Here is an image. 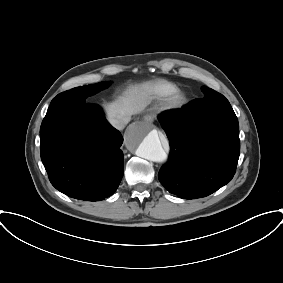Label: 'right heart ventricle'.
I'll return each instance as SVG.
<instances>
[{"mask_svg": "<svg viewBox=\"0 0 283 283\" xmlns=\"http://www.w3.org/2000/svg\"><path fill=\"white\" fill-rule=\"evenodd\" d=\"M175 90V85L164 80H157L153 83V91L158 96L170 94Z\"/></svg>", "mask_w": 283, "mask_h": 283, "instance_id": "e07e8e85", "label": "right heart ventricle"}]
</instances>
